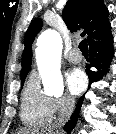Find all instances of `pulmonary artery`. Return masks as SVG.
I'll list each match as a JSON object with an SVG mask.
<instances>
[{
	"mask_svg": "<svg viewBox=\"0 0 116 134\" xmlns=\"http://www.w3.org/2000/svg\"><path fill=\"white\" fill-rule=\"evenodd\" d=\"M67 59L72 63H79L82 60V56L77 52V50H72L67 54Z\"/></svg>",
	"mask_w": 116,
	"mask_h": 134,
	"instance_id": "e3ab8cb5",
	"label": "pulmonary artery"
}]
</instances>
